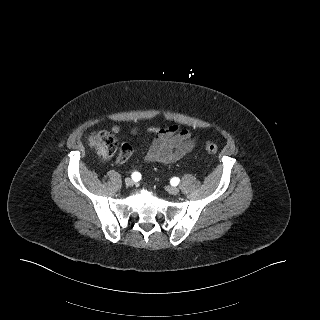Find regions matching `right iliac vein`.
<instances>
[{"label": "right iliac vein", "instance_id": "obj_1", "mask_svg": "<svg viewBox=\"0 0 320 320\" xmlns=\"http://www.w3.org/2000/svg\"><path fill=\"white\" fill-rule=\"evenodd\" d=\"M125 184L127 186H132L134 184V181H133L132 178L128 177V178L125 179Z\"/></svg>", "mask_w": 320, "mask_h": 320}]
</instances>
